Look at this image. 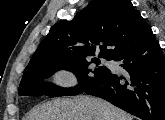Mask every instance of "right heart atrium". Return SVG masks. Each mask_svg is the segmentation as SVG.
Returning a JSON list of instances; mask_svg holds the SVG:
<instances>
[{
    "mask_svg": "<svg viewBox=\"0 0 165 120\" xmlns=\"http://www.w3.org/2000/svg\"><path fill=\"white\" fill-rule=\"evenodd\" d=\"M56 81L63 85H71L74 82L72 75L66 72L59 73L56 76Z\"/></svg>",
    "mask_w": 165,
    "mask_h": 120,
    "instance_id": "d8ad5b80",
    "label": "right heart atrium"
}]
</instances>
